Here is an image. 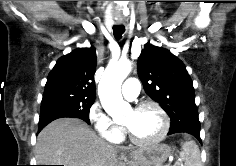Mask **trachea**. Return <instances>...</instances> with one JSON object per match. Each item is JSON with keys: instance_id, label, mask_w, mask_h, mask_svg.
<instances>
[{"instance_id": "1", "label": "trachea", "mask_w": 236, "mask_h": 166, "mask_svg": "<svg viewBox=\"0 0 236 166\" xmlns=\"http://www.w3.org/2000/svg\"><path fill=\"white\" fill-rule=\"evenodd\" d=\"M124 31H125V28L123 25L113 26V34L116 39H121Z\"/></svg>"}]
</instances>
